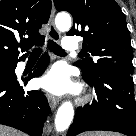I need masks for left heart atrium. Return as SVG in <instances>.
<instances>
[{
    "instance_id": "39dd6f15",
    "label": "left heart atrium",
    "mask_w": 136,
    "mask_h": 136,
    "mask_svg": "<svg viewBox=\"0 0 136 136\" xmlns=\"http://www.w3.org/2000/svg\"><path fill=\"white\" fill-rule=\"evenodd\" d=\"M40 84L50 92L61 93L68 88L69 81L64 69L55 68L40 81Z\"/></svg>"
}]
</instances>
